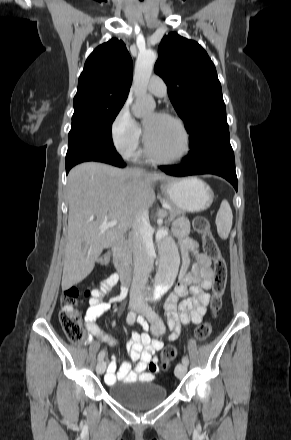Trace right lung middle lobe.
Returning <instances> with one entry per match:
<instances>
[{"label":"right lung middle lobe","instance_id":"1","mask_svg":"<svg viewBox=\"0 0 291 440\" xmlns=\"http://www.w3.org/2000/svg\"><path fill=\"white\" fill-rule=\"evenodd\" d=\"M124 102L102 100L74 103L68 146L85 143L114 149L111 126Z\"/></svg>","mask_w":291,"mask_h":440}]
</instances>
